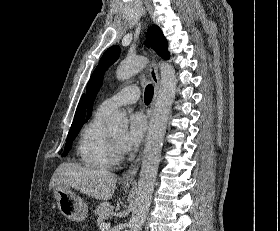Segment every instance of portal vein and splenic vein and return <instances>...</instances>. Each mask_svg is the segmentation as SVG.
Returning a JSON list of instances; mask_svg holds the SVG:
<instances>
[{
	"label": "portal vein and splenic vein",
	"mask_w": 280,
	"mask_h": 231,
	"mask_svg": "<svg viewBox=\"0 0 280 231\" xmlns=\"http://www.w3.org/2000/svg\"><path fill=\"white\" fill-rule=\"evenodd\" d=\"M111 223H101L100 227L101 229H109Z\"/></svg>",
	"instance_id": "obj_1"
}]
</instances>
